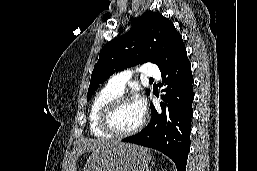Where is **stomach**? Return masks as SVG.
<instances>
[{
    "instance_id": "stomach-1",
    "label": "stomach",
    "mask_w": 257,
    "mask_h": 171,
    "mask_svg": "<svg viewBox=\"0 0 257 171\" xmlns=\"http://www.w3.org/2000/svg\"><path fill=\"white\" fill-rule=\"evenodd\" d=\"M147 149L123 142L93 151L83 171H145L150 162Z\"/></svg>"
}]
</instances>
